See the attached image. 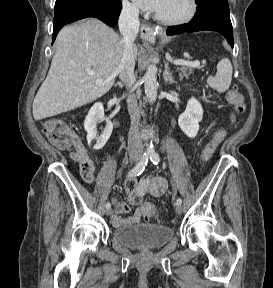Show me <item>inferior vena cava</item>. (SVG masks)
I'll return each mask as SVG.
<instances>
[{
  "mask_svg": "<svg viewBox=\"0 0 273 288\" xmlns=\"http://www.w3.org/2000/svg\"><path fill=\"white\" fill-rule=\"evenodd\" d=\"M139 10L131 5H124L119 17V30L123 36V54L119 65L118 73L121 81L126 88L132 89L136 77L135 68V45L134 41L139 31ZM128 111L131 118V127L128 135V151L130 155L142 154L143 145L139 133L140 112L137 99L134 93L129 94L127 98Z\"/></svg>",
  "mask_w": 273,
  "mask_h": 288,
  "instance_id": "602c4592",
  "label": "inferior vena cava"
}]
</instances>
